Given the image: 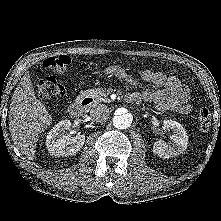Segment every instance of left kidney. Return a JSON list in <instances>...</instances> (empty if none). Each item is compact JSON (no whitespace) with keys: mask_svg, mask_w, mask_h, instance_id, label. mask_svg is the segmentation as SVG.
Segmentation results:
<instances>
[{"mask_svg":"<svg viewBox=\"0 0 221 221\" xmlns=\"http://www.w3.org/2000/svg\"><path fill=\"white\" fill-rule=\"evenodd\" d=\"M163 125L172 130L171 141L166 143L160 139L153 145V153L162 158H170L179 155L187 149L188 136L183 126L173 120H164Z\"/></svg>","mask_w":221,"mask_h":221,"instance_id":"5707ae66","label":"left kidney"}]
</instances>
